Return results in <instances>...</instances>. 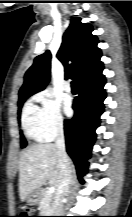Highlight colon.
Segmentation results:
<instances>
[{
  "mask_svg": "<svg viewBox=\"0 0 132 217\" xmlns=\"http://www.w3.org/2000/svg\"><path fill=\"white\" fill-rule=\"evenodd\" d=\"M31 214H30V212H28V211H25V212H23L20 216H18V217H35V216H30Z\"/></svg>",
  "mask_w": 132,
  "mask_h": 217,
  "instance_id": "colon-1",
  "label": "colon"
}]
</instances>
